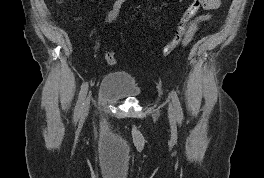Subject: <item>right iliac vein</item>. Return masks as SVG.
I'll return each mask as SVG.
<instances>
[{
  "instance_id": "right-iliac-vein-1",
  "label": "right iliac vein",
  "mask_w": 264,
  "mask_h": 178,
  "mask_svg": "<svg viewBox=\"0 0 264 178\" xmlns=\"http://www.w3.org/2000/svg\"><path fill=\"white\" fill-rule=\"evenodd\" d=\"M89 108H90V100L89 98H87L84 102V106L82 109V119H84L88 115Z\"/></svg>"
}]
</instances>
